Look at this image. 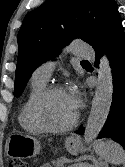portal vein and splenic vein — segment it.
Instances as JSON below:
<instances>
[{
  "label": "portal vein and splenic vein",
  "instance_id": "portal-vein-and-splenic-vein-1",
  "mask_svg": "<svg viewBox=\"0 0 125 167\" xmlns=\"http://www.w3.org/2000/svg\"><path fill=\"white\" fill-rule=\"evenodd\" d=\"M63 162H64V163H65V162H68V160H67V159H65ZM68 167H72V166H68Z\"/></svg>",
  "mask_w": 125,
  "mask_h": 167
}]
</instances>
